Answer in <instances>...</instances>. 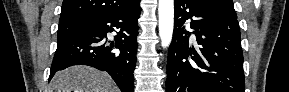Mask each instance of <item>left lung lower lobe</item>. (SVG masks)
Listing matches in <instances>:
<instances>
[{
    "label": "left lung lower lobe",
    "mask_w": 289,
    "mask_h": 92,
    "mask_svg": "<svg viewBox=\"0 0 289 92\" xmlns=\"http://www.w3.org/2000/svg\"><path fill=\"white\" fill-rule=\"evenodd\" d=\"M166 92H245L239 24L201 0H174ZM190 20L191 32L183 25Z\"/></svg>",
    "instance_id": "obj_1"
}]
</instances>
